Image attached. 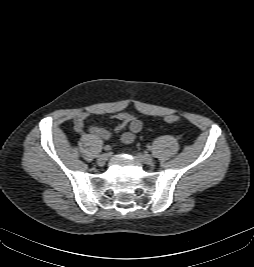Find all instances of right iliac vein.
<instances>
[{"label": "right iliac vein", "mask_w": 254, "mask_h": 267, "mask_svg": "<svg viewBox=\"0 0 254 267\" xmlns=\"http://www.w3.org/2000/svg\"><path fill=\"white\" fill-rule=\"evenodd\" d=\"M108 159V154L107 153H102L101 155L98 156L97 158V163L102 166L106 163Z\"/></svg>", "instance_id": "63e3f726"}]
</instances>
